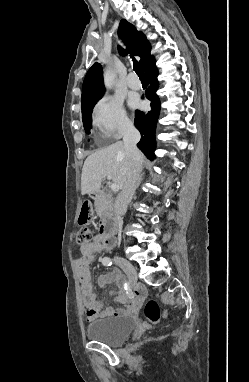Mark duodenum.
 I'll return each mask as SVG.
<instances>
[{"mask_svg":"<svg viewBox=\"0 0 249 382\" xmlns=\"http://www.w3.org/2000/svg\"><path fill=\"white\" fill-rule=\"evenodd\" d=\"M91 196L94 199H98L101 197V191L99 189H95L91 192ZM119 227V221L115 217H106L100 224V232L108 237L113 238L117 233Z\"/></svg>","mask_w":249,"mask_h":382,"instance_id":"duodenum-1","label":"duodenum"}]
</instances>
